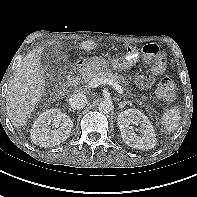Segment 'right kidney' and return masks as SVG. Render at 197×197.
<instances>
[{
  "label": "right kidney",
  "instance_id": "right-kidney-1",
  "mask_svg": "<svg viewBox=\"0 0 197 197\" xmlns=\"http://www.w3.org/2000/svg\"><path fill=\"white\" fill-rule=\"evenodd\" d=\"M72 128L73 121L67 114L60 109H50L43 112L34 122L31 139L41 147H55L68 138Z\"/></svg>",
  "mask_w": 197,
  "mask_h": 197
}]
</instances>
